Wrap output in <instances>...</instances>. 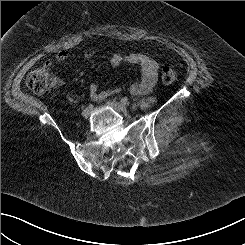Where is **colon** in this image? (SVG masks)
I'll return each instance as SVG.
<instances>
[{
	"mask_svg": "<svg viewBox=\"0 0 245 245\" xmlns=\"http://www.w3.org/2000/svg\"><path fill=\"white\" fill-rule=\"evenodd\" d=\"M177 72L173 68L165 67L161 72V80L164 84L170 85L177 80ZM52 75L48 66H41L29 73L26 78V86L36 94L45 93L51 86Z\"/></svg>",
	"mask_w": 245,
	"mask_h": 245,
	"instance_id": "colon-1",
	"label": "colon"
}]
</instances>
